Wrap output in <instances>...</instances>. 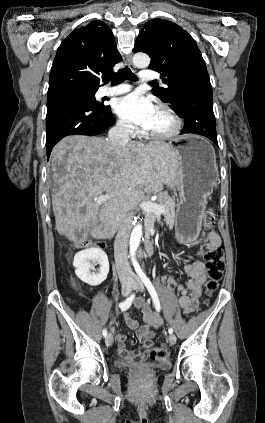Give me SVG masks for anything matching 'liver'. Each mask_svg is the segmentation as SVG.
I'll use <instances>...</instances> for the list:
<instances>
[{"instance_id": "obj_1", "label": "liver", "mask_w": 265, "mask_h": 423, "mask_svg": "<svg viewBox=\"0 0 265 423\" xmlns=\"http://www.w3.org/2000/svg\"><path fill=\"white\" fill-rule=\"evenodd\" d=\"M51 165L56 230L75 243L88 233L113 237L145 194H156L165 184L174 189L177 178V156L162 141L119 147L104 138L67 136L53 148ZM100 196L109 198L99 205L94 199Z\"/></svg>"}]
</instances>
